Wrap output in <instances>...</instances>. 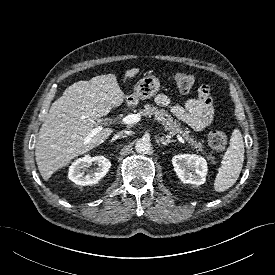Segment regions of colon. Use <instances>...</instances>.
<instances>
[{
  "instance_id": "obj_1",
  "label": "colon",
  "mask_w": 275,
  "mask_h": 275,
  "mask_svg": "<svg viewBox=\"0 0 275 275\" xmlns=\"http://www.w3.org/2000/svg\"><path fill=\"white\" fill-rule=\"evenodd\" d=\"M173 81L181 92L189 91L194 84L193 76L183 72L176 73L173 76ZM208 143L215 151L221 152L226 148L227 136L222 131H211L208 134Z\"/></svg>"
}]
</instances>
